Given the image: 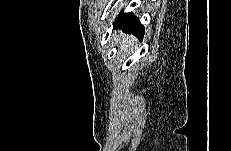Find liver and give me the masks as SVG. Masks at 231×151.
Returning a JSON list of instances; mask_svg holds the SVG:
<instances>
[{
    "instance_id": "liver-1",
    "label": "liver",
    "mask_w": 231,
    "mask_h": 151,
    "mask_svg": "<svg viewBox=\"0 0 231 151\" xmlns=\"http://www.w3.org/2000/svg\"><path fill=\"white\" fill-rule=\"evenodd\" d=\"M117 35L116 32L114 34V41L119 45V51L121 54L125 55L130 50V47L137 43V40L133 36H128L125 34H122L121 32H118Z\"/></svg>"
}]
</instances>
